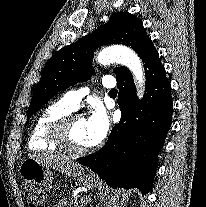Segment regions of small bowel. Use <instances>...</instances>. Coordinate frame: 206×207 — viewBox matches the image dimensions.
Here are the masks:
<instances>
[{"label":"small bowel","instance_id":"c3829d8e","mask_svg":"<svg viewBox=\"0 0 206 207\" xmlns=\"http://www.w3.org/2000/svg\"><path fill=\"white\" fill-rule=\"evenodd\" d=\"M55 207H66L64 202H59L55 205Z\"/></svg>","mask_w":206,"mask_h":207}]
</instances>
